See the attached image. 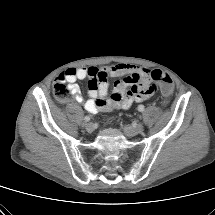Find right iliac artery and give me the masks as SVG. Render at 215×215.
Segmentation results:
<instances>
[{
  "label": "right iliac artery",
  "mask_w": 215,
  "mask_h": 215,
  "mask_svg": "<svg viewBox=\"0 0 215 215\" xmlns=\"http://www.w3.org/2000/svg\"><path fill=\"white\" fill-rule=\"evenodd\" d=\"M84 120H85L86 122H88V121H90V117H89V116H85Z\"/></svg>",
  "instance_id": "obj_1"
}]
</instances>
